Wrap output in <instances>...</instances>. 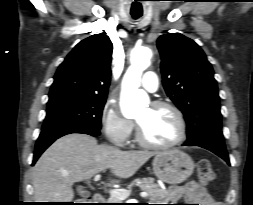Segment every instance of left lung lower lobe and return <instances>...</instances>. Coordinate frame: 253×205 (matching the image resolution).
<instances>
[{
	"instance_id": "0a47b994",
	"label": "left lung lower lobe",
	"mask_w": 253,
	"mask_h": 205,
	"mask_svg": "<svg viewBox=\"0 0 253 205\" xmlns=\"http://www.w3.org/2000/svg\"><path fill=\"white\" fill-rule=\"evenodd\" d=\"M184 145L189 146L188 144L185 143ZM192 145L208 149L213 153H215L216 155H218L219 157H221L222 159H224L228 164H230L224 141L210 138L204 139Z\"/></svg>"
}]
</instances>
